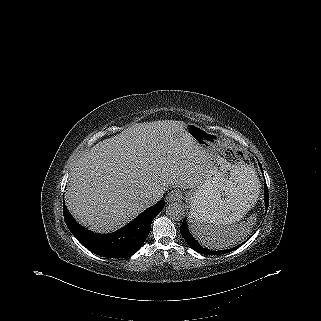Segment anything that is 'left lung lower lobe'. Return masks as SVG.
Returning <instances> with one entry per match:
<instances>
[{
    "mask_svg": "<svg viewBox=\"0 0 321 321\" xmlns=\"http://www.w3.org/2000/svg\"><path fill=\"white\" fill-rule=\"evenodd\" d=\"M259 166L261 167V164L259 163ZM268 189H267V185L265 184V204L266 207H268L269 205V196H268ZM180 232L183 236V238L186 240V242L189 244V246L196 252L201 253V254H206V255H218V254H224L230 251L235 250L236 248H238L239 246H241L242 244H244V242L242 244H240L237 247L231 248L229 250H224V251H210L208 249H205L203 247H201L197 241L192 237V235L190 234L188 228H187V222L184 219L181 227H180Z\"/></svg>",
    "mask_w": 321,
    "mask_h": 321,
    "instance_id": "obj_1",
    "label": "left lung lower lobe"
}]
</instances>
